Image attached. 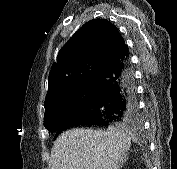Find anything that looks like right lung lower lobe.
Masks as SVG:
<instances>
[{"instance_id":"right-lung-lower-lobe-1","label":"right lung lower lobe","mask_w":177,"mask_h":169,"mask_svg":"<svg viewBox=\"0 0 177 169\" xmlns=\"http://www.w3.org/2000/svg\"><path fill=\"white\" fill-rule=\"evenodd\" d=\"M95 93L91 103L78 115L66 121L55 138L64 130L77 126H108L139 116L134 72L128 52L102 69L93 80Z\"/></svg>"}]
</instances>
